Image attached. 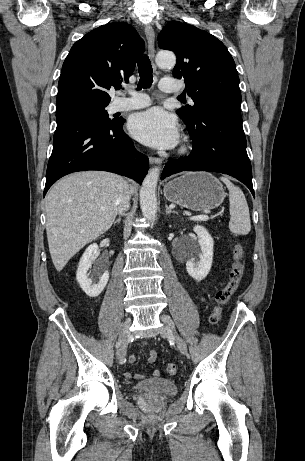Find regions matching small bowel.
<instances>
[{"label": "small bowel", "instance_id": "small-bowel-1", "mask_svg": "<svg viewBox=\"0 0 305 461\" xmlns=\"http://www.w3.org/2000/svg\"><path fill=\"white\" fill-rule=\"evenodd\" d=\"M135 360H136V357H135L133 354H131V355L128 357V361H129L130 363L135 362ZM155 360H156V352H155L154 350H149L148 362H149V363H153ZM159 375H160V371H159L158 369H155V370L153 371V376L158 377ZM144 376H145V375L142 374V373H136V374H134V375L131 374V373H129V372H126V373H125V377H126L127 379H131V378L143 379Z\"/></svg>", "mask_w": 305, "mask_h": 461}]
</instances>
